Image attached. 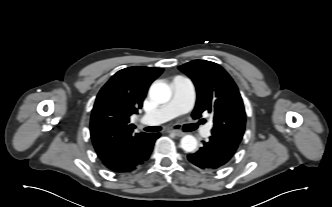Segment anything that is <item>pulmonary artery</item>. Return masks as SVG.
I'll list each match as a JSON object with an SVG mask.
<instances>
[{
	"mask_svg": "<svg viewBox=\"0 0 332 207\" xmlns=\"http://www.w3.org/2000/svg\"><path fill=\"white\" fill-rule=\"evenodd\" d=\"M171 87L173 91L171 100L157 110L145 113L142 117L144 124L158 125L192 109L195 101V89L191 80L183 76H176L172 80ZM211 127L210 123L206 124L202 128L201 134L208 137Z\"/></svg>",
	"mask_w": 332,
	"mask_h": 207,
	"instance_id": "pulmonary-artery-1",
	"label": "pulmonary artery"
}]
</instances>
